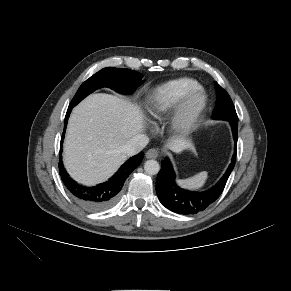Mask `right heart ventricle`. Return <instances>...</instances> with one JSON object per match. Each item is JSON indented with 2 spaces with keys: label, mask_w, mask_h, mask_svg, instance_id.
<instances>
[{
  "label": "right heart ventricle",
  "mask_w": 291,
  "mask_h": 291,
  "mask_svg": "<svg viewBox=\"0 0 291 291\" xmlns=\"http://www.w3.org/2000/svg\"><path fill=\"white\" fill-rule=\"evenodd\" d=\"M198 81L183 77L154 88L147 97V111L155 119L162 118L179 104L191 90L199 87Z\"/></svg>",
  "instance_id": "right-heart-ventricle-1"
}]
</instances>
